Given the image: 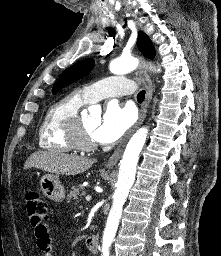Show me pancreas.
<instances>
[{
  "label": "pancreas",
  "mask_w": 221,
  "mask_h": 256,
  "mask_svg": "<svg viewBox=\"0 0 221 256\" xmlns=\"http://www.w3.org/2000/svg\"><path fill=\"white\" fill-rule=\"evenodd\" d=\"M86 194V192L83 190L82 185H77L72 187L70 193L67 195L68 202H71L74 200L75 202H78V197H82Z\"/></svg>",
  "instance_id": "1"
}]
</instances>
